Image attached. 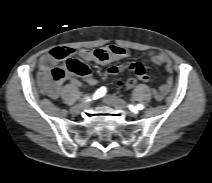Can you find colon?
Instances as JSON below:
<instances>
[{
  "mask_svg": "<svg viewBox=\"0 0 212 183\" xmlns=\"http://www.w3.org/2000/svg\"><path fill=\"white\" fill-rule=\"evenodd\" d=\"M52 55L60 61H64L62 65L52 68L50 72V79L53 82H61L65 79L67 74L77 76H85L88 74V67L78 60L69 58V53L65 48H55L52 50ZM137 84L135 78H130L126 81L124 88L131 90Z\"/></svg>",
  "mask_w": 212,
  "mask_h": 183,
  "instance_id": "colon-1",
  "label": "colon"
}]
</instances>
